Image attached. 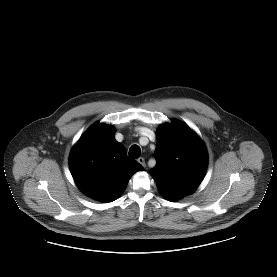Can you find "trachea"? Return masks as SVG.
<instances>
[{"mask_svg": "<svg viewBox=\"0 0 277 277\" xmlns=\"http://www.w3.org/2000/svg\"><path fill=\"white\" fill-rule=\"evenodd\" d=\"M141 155V149L138 145H133L129 149V156L132 158H138Z\"/></svg>", "mask_w": 277, "mask_h": 277, "instance_id": "obj_1", "label": "trachea"}]
</instances>
